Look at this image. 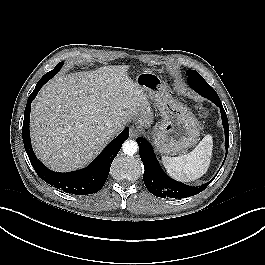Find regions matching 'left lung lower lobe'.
I'll list each match as a JSON object with an SVG mask.
<instances>
[{
  "label": "left lung lower lobe",
  "instance_id": "obj_1",
  "mask_svg": "<svg viewBox=\"0 0 265 265\" xmlns=\"http://www.w3.org/2000/svg\"><path fill=\"white\" fill-rule=\"evenodd\" d=\"M188 83L194 91H196L202 97L211 100L220 108L222 124L225 131V148L227 156L229 146V125L227 115L224 111L219 96L205 80L189 81ZM137 143L139 145L140 158L145 169L143 174L144 184L153 195L162 198H186L200 193L210 183L208 182L201 186H189L171 179L161 169L152 146L142 137L137 138Z\"/></svg>",
  "mask_w": 265,
  "mask_h": 265
}]
</instances>
